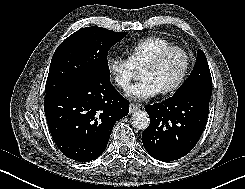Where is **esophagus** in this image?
Masks as SVG:
<instances>
[{"label": "esophagus", "instance_id": "1", "mask_svg": "<svg viewBox=\"0 0 245 189\" xmlns=\"http://www.w3.org/2000/svg\"><path fill=\"white\" fill-rule=\"evenodd\" d=\"M140 107L134 103H131L130 106H129V112L132 114L134 113L135 111H137Z\"/></svg>", "mask_w": 245, "mask_h": 189}]
</instances>
